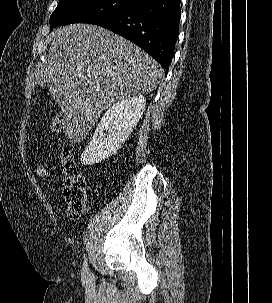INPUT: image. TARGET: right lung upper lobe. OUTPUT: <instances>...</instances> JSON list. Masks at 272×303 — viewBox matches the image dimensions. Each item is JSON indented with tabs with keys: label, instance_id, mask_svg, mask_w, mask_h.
<instances>
[{
	"label": "right lung upper lobe",
	"instance_id": "1",
	"mask_svg": "<svg viewBox=\"0 0 272 303\" xmlns=\"http://www.w3.org/2000/svg\"><path fill=\"white\" fill-rule=\"evenodd\" d=\"M137 3H139V2H141V1H143V0H135Z\"/></svg>",
	"mask_w": 272,
	"mask_h": 303
}]
</instances>
